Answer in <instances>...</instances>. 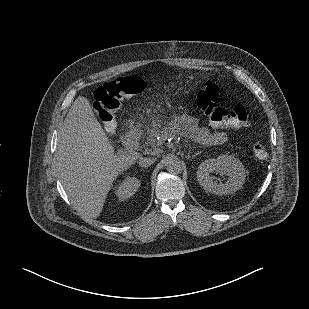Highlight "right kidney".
Segmentation results:
<instances>
[{
	"label": "right kidney",
	"instance_id": "1",
	"mask_svg": "<svg viewBox=\"0 0 309 309\" xmlns=\"http://www.w3.org/2000/svg\"><path fill=\"white\" fill-rule=\"evenodd\" d=\"M141 185V181L136 177H126L115 187V194L119 199L124 200L135 194Z\"/></svg>",
	"mask_w": 309,
	"mask_h": 309
}]
</instances>
